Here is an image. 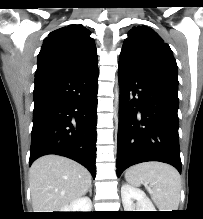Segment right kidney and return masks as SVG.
<instances>
[{
  "instance_id": "obj_1",
  "label": "right kidney",
  "mask_w": 203,
  "mask_h": 219,
  "mask_svg": "<svg viewBox=\"0 0 203 219\" xmlns=\"http://www.w3.org/2000/svg\"><path fill=\"white\" fill-rule=\"evenodd\" d=\"M91 209V199L89 197H81L65 206L60 212H91Z\"/></svg>"
}]
</instances>
